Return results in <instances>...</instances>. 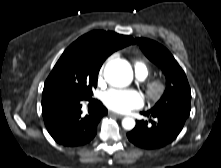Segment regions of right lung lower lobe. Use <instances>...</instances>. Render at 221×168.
I'll return each mask as SVG.
<instances>
[{"label":"right lung lower lobe","mask_w":221,"mask_h":168,"mask_svg":"<svg viewBox=\"0 0 221 168\" xmlns=\"http://www.w3.org/2000/svg\"><path fill=\"white\" fill-rule=\"evenodd\" d=\"M84 101L93 104L87 115H82ZM42 114L52 138L64 146H80L91 141L97 133V124L107 109L97 99L77 98L67 94L42 95Z\"/></svg>","instance_id":"98d812e1"}]
</instances>
